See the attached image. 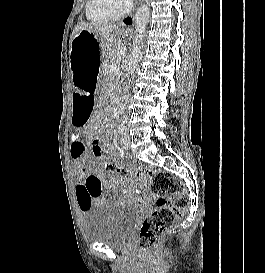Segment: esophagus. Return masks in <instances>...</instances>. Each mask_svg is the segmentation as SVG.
<instances>
[{"label": "esophagus", "mask_w": 265, "mask_h": 273, "mask_svg": "<svg viewBox=\"0 0 265 273\" xmlns=\"http://www.w3.org/2000/svg\"><path fill=\"white\" fill-rule=\"evenodd\" d=\"M142 1L143 0H137L136 6H135L133 12L129 16H126L125 18H123V20L121 21V25L126 26V27H130L133 25L135 10Z\"/></svg>", "instance_id": "34e87169"}]
</instances>
